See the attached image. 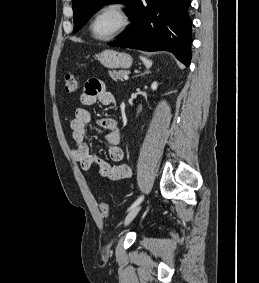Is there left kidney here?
I'll return each mask as SVG.
<instances>
[{
	"label": "left kidney",
	"instance_id": "1",
	"mask_svg": "<svg viewBox=\"0 0 259 283\" xmlns=\"http://www.w3.org/2000/svg\"><path fill=\"white\" fill-rule=\"evenodd\" d=\"M157 86H158L157 82H153L151 85L152 90H156Z\"/></svg>",
	"mask_w": 259,
	"mask_h": 283
}]
</instances>
